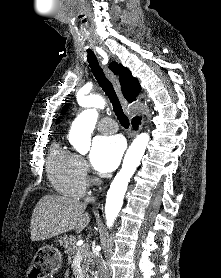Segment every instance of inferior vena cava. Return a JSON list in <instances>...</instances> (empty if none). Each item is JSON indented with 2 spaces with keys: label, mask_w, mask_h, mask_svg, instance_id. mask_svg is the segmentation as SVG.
I'll use <instances>...</instances> for the list:
<instances>
[{
  "label": "inferior vena cava",
  "mask_w": 221,
  "mask_h": 278,
  "mask_svg": "<svg viewBox=\"0 0 221 278\" xmlns=\"http://www.w3.org/2000/svg\"><path fill=\"white\" fill-rule=\"evenodd\" d=\"M94 200H95L94 197H88L85 199V203H88L89 201H94ZM93 257H94V262L96 264L99 277L100 278H110L109 270L107 268L106 262L104 261L102 255L98 252H95Z\"/></svg>",
  "instance_id": "1"
}]
</instances>
